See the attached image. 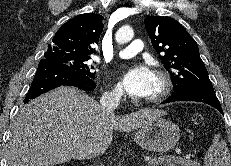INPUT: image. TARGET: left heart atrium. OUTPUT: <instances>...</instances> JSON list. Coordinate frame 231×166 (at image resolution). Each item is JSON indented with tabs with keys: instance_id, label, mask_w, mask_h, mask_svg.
Returning <instances> with one entry per match:
<instances>
[{
	"instance_id": "obj_1",
	"label": "left heart atrium",
	"mask_w": 231,
	"mask_h": 166,
	"mask_svg": "<svg viewBox=\"0 0 231 166\" xmlns=\"http://www.w3.org/2000/svg\"><path fill=\"white\" fill-rule=\"evenodd\" d=\"M154 73L145 65L128 69L121 78V86L133 97H147L153 87Z\"/></svg>"
}]
</instances>
